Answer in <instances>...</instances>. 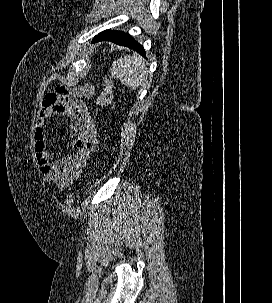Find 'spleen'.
Listing matches in <instances>:
<instances>
[{
  "instance_id": "obj_1",
  "label": "spleen",
  "mask_w": 272,
  "mask_h": 303,
  "mask_svg": "<svg viewBox=\"0 0 272 303\" xmlns=\"http://www.w3.org/2000/svg\"><path fill=\"white\" fill-rule=\"evenodd\" d=\"M111 74L124 85L135 90L147 80V64L138 56L125 55L112 64Z\"/></svg>"
}]
</instances>
